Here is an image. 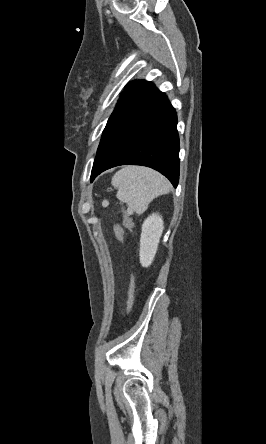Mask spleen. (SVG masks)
<instances>
[{"instance_id":"spleen-1","label":"spleen","mask_w":266,"mask_h":444,"mask_svg":"<svg viewBox=\"0 0 266 444\" xmlns=\"http://www.w3.org/2000/svg\"><path fill=\"white\" fill-rule=\"evenodd\" d=\"M112 185L118 189L120 203L128 205L127 213H144L149 203L170 190V184L160 173L145 167L127 166L113 176Z\"/></svg>"}]
</instances>
